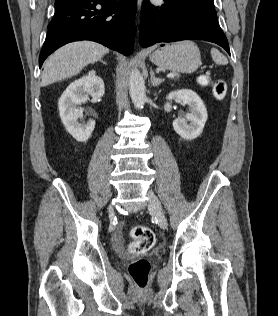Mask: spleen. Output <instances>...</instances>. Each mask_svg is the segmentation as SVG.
Masks as SVG:
<instances>
[{"instance_id": "1", "label": "spleen", "mask_w": 278, "mask_h": 316, "mask_svg": "<svg viewBox=\"0 0 278 316\" xmlns=\"http://www.w3.org/2000/svg\"><path fill=\"white\" fill-rule=\"evenodd\" d=\"M211 56L216 64L226 65L228 63L227 58L215 48L211 49Z\"/></svg>"}]
</instances>
